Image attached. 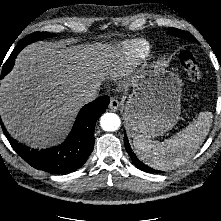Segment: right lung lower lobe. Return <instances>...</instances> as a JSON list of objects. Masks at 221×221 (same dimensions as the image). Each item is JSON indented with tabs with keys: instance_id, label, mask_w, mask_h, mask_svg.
I'll use <instances>...</instances> for the list:
<instances>
[{
	"instance_id": "1",
	"label": "right lung lower lobe",
	"mask_w": 221,
	"mask_h": 221,
	"mask_svg": "<svg viewBox=\"0 0 221 221\" xmlns=\"http://www.w3.org/2000/svg\"><path fill=\"white\" fill-rule=\"evenodd\" d=\"M24 39L16 46L10 58L3 67L8 66L3 74L12 69L17 54L25 47ZM5 75L1 74V77ZM109 97L102 96L85 105L79 112L73 129L66 141L61 145L36 150L17 143L8 132L4 133L13 149L31 166L53 174H68L79 169L87 160L94 147V129L97 119L105 112ZM2 123V122H1ZM3 127V126H2Z\"/></svg>"
}]
</instances>
